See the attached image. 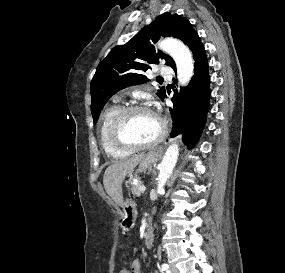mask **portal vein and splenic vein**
Segmentation results:
<instances>
[{
  "label": "portal vein and splenic vein",
  "instance_id": "obj_1",
  "mask_svg": "<svg viewBox=\"0 0 285 273\" xmlns=\"http://www.w3.org/2000/svg\"><path fill=\"white\" fill-rule=\"evenodd\" d=\"M146 190L145 186L144 185H141L140 186V191L144 192Z\"/></svg>",
  "mask_w": 285,
  "mask_h": 273
}]
</instances>
